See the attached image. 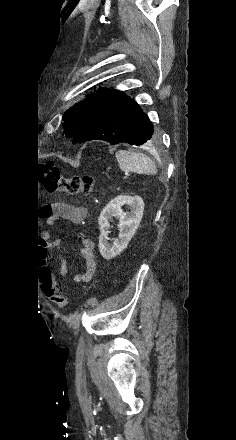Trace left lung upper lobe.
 Segmentation results:
<instances>
[{
	"label": "left lung upper lobe",
	"instance_id": "left-lung-upper-lobe-1",
	"mask_svg": "<svg viewBox=\"0 0 236 440\" xmlns=\"http://www.w3.org/2000/svg\"><path fill=\"white\" fill-rule=\"evenodd\" d=\"M118 90L102 89L88 95L83 101L78 102L68 109L63 115V127L66 137H75L82 127L106 104L119 96Z\"/></svg>",
	"mask_w": 236,
	"mask_h": 440
}]
</instances>
